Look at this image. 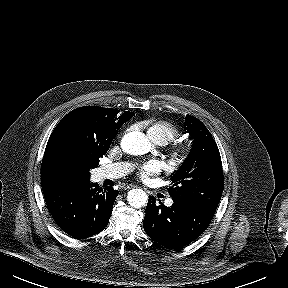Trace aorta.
<instances>
[{"label": "aorta", "instance_id": "1", "mask_svg": "<svg viewBox=\"0 0 288 288\" xmlns=\"http://www.w3.org/2000/svg\"><path fill=\"white\" fill-rule=\"evenodd\" d=\"M121 147L127 154L143 155L149 152L151 144L143 133L135 131L123 137ZM127 200L130 206L141 208L146 205L148 196L146 192L141 189H132L128 192Z\"/></svg>", "mask_w": 288, "mask_h": 288}]
</instances>
